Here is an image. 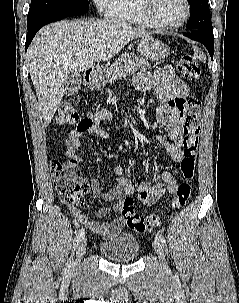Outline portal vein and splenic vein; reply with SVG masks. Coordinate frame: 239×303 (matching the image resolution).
<instances>
[{"instance_id":"18ae733b","label":"portal vein and splenic vein","mask_w":239,"mask_h":303,"mask_svg":"<svg viewBox=\"0 0 239 303\" xmlns=\"http://www.w3.org/2000/svg\"><path fill=\"white\" fill-rule=\"evenodd\" d=\"M95 46H91L90 48H89V50L92 52V51H94L95 50Z\"/></svg>"}]
</instances>
